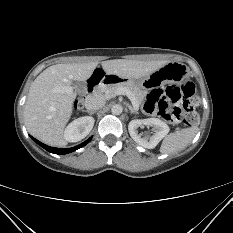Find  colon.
Returning <instances> with one entry per match:
<instances>
[{
    "label": "colon",
    "instance_id": "obj_1",
    "mask_svg": "<svg viewBox=\"0 0 233 233\" xmlns=\"http://www.w3.org/2000/svg\"><path fill=\"white\" fill-rule=\"evenodd\" d=\"M196 102L195 86L186 82L181 87L170 85L164 89L152 90L147 95L144 110L171 123L194 126L199 122V116L194 110ZM82 106L83 99L78 98L74 107L80 109Z\"/></svg>",
    "mask_w": 233,
    "mask_h": 233
}]
</instances>
